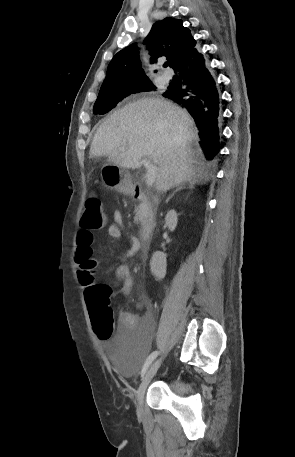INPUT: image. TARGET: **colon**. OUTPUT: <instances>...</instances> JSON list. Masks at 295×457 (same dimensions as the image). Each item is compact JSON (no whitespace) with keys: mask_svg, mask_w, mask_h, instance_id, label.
<instances>
[{"mask_svg":"<svg viewBox=\"0 0 295 457\" xmlns=\"http://www.w3.org/2000/svg\"><path fill=\"white\" fill-rule=\"evenodd\" d=\"M105 221L101 199L97 195L89 196L81 217L82 228L98 230L104 227ZM76 262L79 265L78 274L85 286V300L94 331L99 339L106 340L113 332L110 289L95 282L93 264L88 256L79 255Z\"/></svg>","mask_w":295,"mask_h":457,"instance_id":"5ec220e1","label":"colon"}]
</instances>
